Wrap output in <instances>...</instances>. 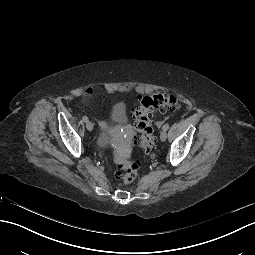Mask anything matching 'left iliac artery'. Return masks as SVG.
I'll use <instances>...</instances> for the list:
<instances>
[{"label": "left iliac artery", "instance_id": "44dca946", "mask_svg": "<svg viewBox=\"0 0 255 255\" xmlns=\"http://www.w3.org/2000/svg\"><path fill=\"white\" fill-rule=\"evenodd\" d=\"M163 130H165V131H167L168 129H169V124L167 123V124H165L164 126H163V128H162Z\"/></svg>", "mask_w": 255, "mask_h": 255}]
</instances>
